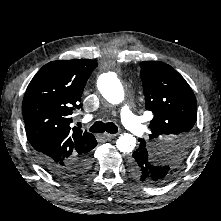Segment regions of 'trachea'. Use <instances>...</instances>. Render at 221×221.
Here are the masks:
<instances>
[{"mask_svg": "<svg viewBox=\"0 0 221 221\" xmlns=\"http://www.w3.org/2000/svg\"><path fill=\"white\" fill-rule=\"evenodd\" d=\"M89 130L93 133H102L106 131L108 133L114 134L118 132V128L113 122L104 123L102 121L95 122Z\"/></svg>", "mask_w": 221, "mask_h": 221, "instance_id": "trachea-1", "label": "trachea"}]
</instances>
